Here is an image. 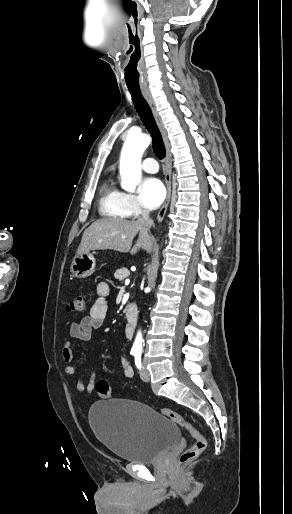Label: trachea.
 I'll return each instance as SVG.
<instances>
[{"label":"trachea","instance_id":"trachea-1","mask_svg":"<svg viewBox=\"0 0 292 514\" xmlns=\"http://www.w3.org/2000/svg\"><path fill=\"white\" fill-rule=\"evenodd\" d=\"M129 92L131 94L133 105L139 114V117L148 132L150 133L152 137V147L154 154L159 160H162L166 157V149L165 145L161 136V132L155 122V119L153 117L151 108L149 107L147 101L143 97L140 89L139 90H132L129 89Z\"/></svg>","mask_w":292,"mask_h":514}]
</instances>
